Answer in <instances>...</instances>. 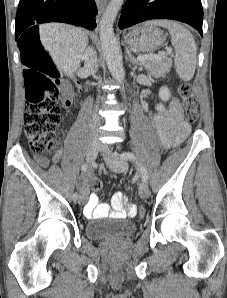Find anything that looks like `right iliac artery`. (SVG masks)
<instances>
[{"mask_svg": "<svg viewBox=\"0 0 227 298\" xmlns=\"http://www.w3.org/2000/svg\"><path fill=\"white\" fill-rule=\"evenodd\" d=\"M87 169H88V164L87 163L83 164L82 167H81V170L83 172H85V171H87ZM72 198H73L74 201H76L78 199L77 193L73 194Z\"/></svg>", "mask_w": 227, "mask_h": 298, "instance_id": "82829eb1", "label": "right iliac artery"}]
</instances>
